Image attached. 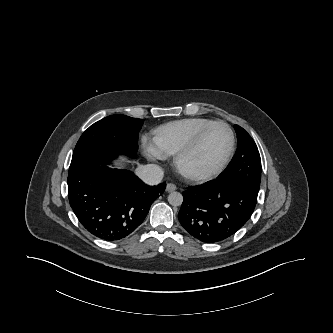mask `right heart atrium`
Listing matches in <instances>:
<instances>
[{"label":"right heart atrium","instance_id":"obj_1","mask_svg":"<svg viewBox=\"0 0 333 333\" xmlns=\"http://www.w3.org/2000/svg\"><path fill=\"white\" fill-rule=\"evenodd\" d=\"M143 148L146 156L151 160H161L165 157L153 144L146 141L143 142Z\"/></svg>","mask_w":333,"mask_h":333}]
</instances>
